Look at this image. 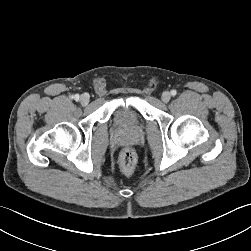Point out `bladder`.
Instances as JSON below:
<instances>
[{"mask_svg":"<svg viewBox=\"0 0 251 251\" xmlns=\"http://www.w3.org/2000/svg\"><path fill=\"white\" fill-rule=\"evenodd\" d=\"M115 125L122 129H135L139 125L137 114L125 108L118 109L113 116Z\"/></svg>","mask_w":251,"mask_h":251,"instance_id":"bladder-1","label":"bladder"}]
</instances>
